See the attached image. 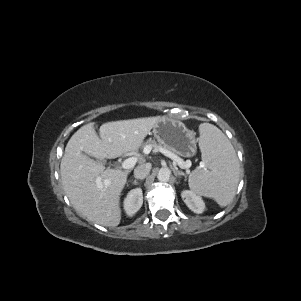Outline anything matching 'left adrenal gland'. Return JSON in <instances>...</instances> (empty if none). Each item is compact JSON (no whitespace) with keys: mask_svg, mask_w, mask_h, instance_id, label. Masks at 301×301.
Here are the masks:
<instances>
[{"mask_svg":"<svg viewBox=\"0 0 301 301\" xmlns=\"http://www.w3.org/2000/svg\"><path fill=\"white\" fill-rule=\"evenodd\" d=\"M174 170H175V174H176V175H178V176H184V177H186V174H185V173H183L182 171H179V170H178V168H176V167H175V169H174Z\"/></svg>","mask_w":301,"mask_h":301,"instance_id":"1","label":"left adrenal gland"}]
</instances>
